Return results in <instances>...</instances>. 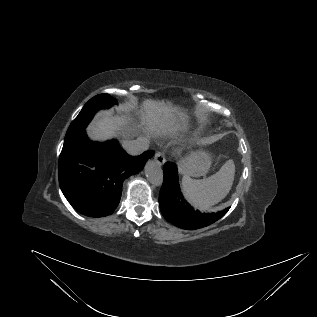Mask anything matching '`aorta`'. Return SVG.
Instances as JSON below:
<instances>
[{
    "instance_id": "762f6f07",
    "label": "aorta",
    "mask_w": 317,
    "mask_h": 317,
    "mask_svg": "<svg viewBox=\"0 0 317 317\" xmlns=\"http://www.w3.org/2000/svg\"><path fill=\"white\" fill-rule=\"evenodd\" d=\"M145 175L149 182L154 186H161L163 183V170L157 160H148L145 165Z\"/></svg>"
}]
</instances>
